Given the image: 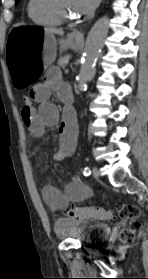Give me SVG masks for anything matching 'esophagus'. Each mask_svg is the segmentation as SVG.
Here are the masks:
<instances>
[{
	"label": "esophagus",
	"mask_w": 148,
	"mask_h": 279,
	"mask_svg": "<svg viewBox=\"0 0 148 279\" xmlns=\"http://www.w3.org/2000/svg\"><path fill=\"white\" fill-rule=\"evenodd\" d=\"M75 36H76L77 38H79V39H83V38H84V35H83V33H81V32H76V33H75Z\"/></svg>",
	"instance_id": "34e87169"
}]
</instances>
